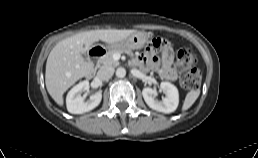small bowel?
I'll return each mask as SVG.
<instances>
[{
    "instance_id": "obj_1",
    "label": "small bowel",
    "mask_w": 258,
    "mask_h": 158,
    "mask_svg": "<svg viewBox=\"0 0 258 158\" xmlns=\"http://www.w3.org/2000/svg\"><path fill=\"white\" fill-rule=\"evenodd\" d=\"M158 51H161V59L157 56ZM173 60V49L168 43L162 41L159 49L149 46L143 56L135 59V63L144 70H156L159 76L167 81H174L177 73L173 68Z\"/></svg>"
}]
</instances>
